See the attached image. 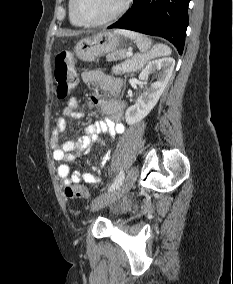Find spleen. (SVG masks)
I'll list each match as a JSON object with an SVG mask.
<instances>
[{"instance_id":"obj_1","label":"spleen","mask_w":233,"mask_h":284,"mask_svg":"<svg viewBox=\"0 0 233 284\" xmlns=\"http://www.w3.org/2000/svg\"><path fill=\"white\" fill-rule=\"evenodd\" d=\"M118 33L123 34L125 37L133 40L134 43H136L139 51L142 53L141 57L145 60L153 57L169 55L171 53V49L167 45L158 43L152 46L150 38L140 33L129 30H119Z\"/></svg>"}]
</instances>
